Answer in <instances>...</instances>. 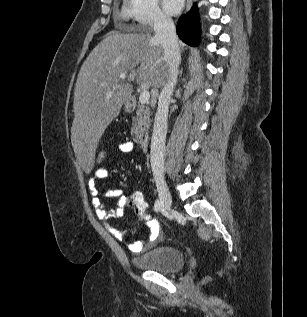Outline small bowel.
<instances>
[{
    "label": "small bowel",
    "instance_id": "small-bowel-1",
    "mask_svg": "<svg viewBox=\"0 0 307 317\" xmlns=\"http://www.w3.org/2000/svg\"><path fill=\"white\" fill-rule=\"evenodd\" d=\"M135 145L131 141H125L118 145L117 150L122 154H129L133 152ZM109 170L107 167H99L95 170L94 176L89 180V189L92 195V205L95 209L96 215L99 219L106 222V229L117 239L121 241L126 240V233L112 227L108 221L111 219H119L123 216L125 209L127 207L128 197L124 195L122 189H100L98 187V182L108 176ZM112 198L116 200L115 207L112 209H107L106 205L102 202L101 198ZM149 234L148 236L138 242H127V247L133 253H140L158 238L159 228L155 221L149 220Z\"/></svg>",
    "mask_w": 307,
    "mask_h": 317
}]
</instances>
